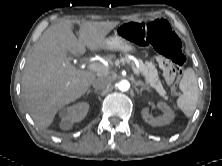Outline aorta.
I'll return each mask as SVG.
<instances>
[{
    "label": "aorta",
    "mask_w": 222,
    "mask_h": 166,
    "mask_svg": "<svg viewBox=\"0 0 222 166\" xmlns=\"http://www.w3.org/2000/svg\"><path fill=\"white\" fill-rule=\"evenodd\" d=\"M117 87L120 91H127L130 88V83L127 80H121L118 84Z\"/></svg>",
    "instance_id": "762f6f07"
}]
</instances>
